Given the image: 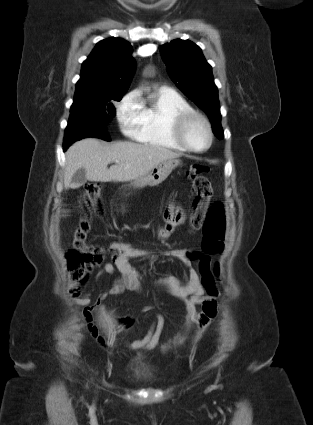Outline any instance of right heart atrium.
I'll use <instances>...</instances> for the list:
<instances>
[{"label":"right heart atrium","mask_w":313,"mask_h":425,"mask_svg":"<svg viewBox=\"0 0 313 425\" xmlns=\"http://www.w3.org/2000/svg\"><path fill=\"white\" fill-rule=\"evenodd\" d=\"M116 115L122 131L133 136L141 122V101L136 91L122 98L117 105Z\"/></svg>","instance_id":"1"}]
</instances>
